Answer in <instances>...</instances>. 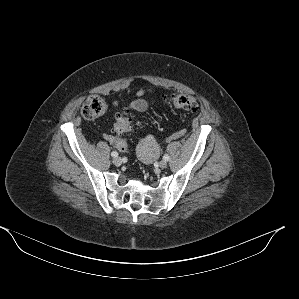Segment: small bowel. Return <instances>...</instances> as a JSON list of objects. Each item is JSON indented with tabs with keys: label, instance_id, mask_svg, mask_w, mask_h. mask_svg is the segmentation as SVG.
I'll return each mask as SVG.
<instances>
[{
	"label": "small bowel",
	"instance_id": "small-bowel-1",
	"mask_svg": "<svg viewBox=\"0 0 299 299\" xmlns=\"http://www.w3.org/2000/svg\"><path fill=\"white\" fill-rule=\"evenodd\" d=\"M153 91L152 89L148 88V89H140L136 95L137 98L134 99L130 104H129V108L138 112H143L145 111L149 106H150V102L144 98L145 94H151ZM113 104L115 106H117L119 104V101H114ZM104 138L106 141L110 142L111 144L116 145V137L111 135V134H105ZM118 148V147H117ZM120 151H125L123 149L118 148Z\"/></svg>",
	"mask_w": 299,
	"mask_h": 299
}]
</instances>
